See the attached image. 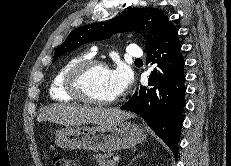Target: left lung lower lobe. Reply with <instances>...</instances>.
<instances>
[{
	"mask_svg": "<svg viewBox=\"0 0 231 166\" xmlns=\"http://www.w3.org/2000/svg\"><path fill=\"white\" fill-rule=\"evenodd\" d=\"M146 62L156 64L148 86H141L120 108L141 116L177 155L185 107V62L175 27L147 51Z\"/></svg>",
	"mask_w": 231,
	"mask_h": 166,
	"instance_id": "left-lung-lower-lobe-1",
	"label": "left lung lower lobe"
}]
</instances>
